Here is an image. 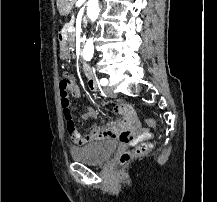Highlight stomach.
<instances>
[{
    "label": "stomach",
    "instance_id": "1",
    "mask_svg": "<svg viewBox=\"0 0 217 202\" xmlns=\"http://www.w3.org/2000/svg\"><path fill=\"white\" fill-rule=\"evenodd\" d=\"M60 58H61V60H66V58H68L67 42H65V44H63V46H61V48H60Z\"/></svg>",
    "mask_w": 217,
    "mask_h": 202
}]
</instances>
